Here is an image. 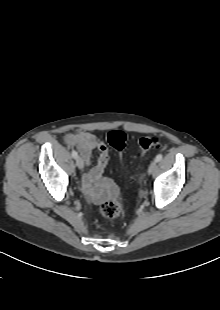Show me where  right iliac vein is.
I'll list each match as a JSON object with an SVG mask.
<instances>
[{
  "instance_id": "1",
  "label": "right iliac vein",
  "mask_w": 220,
  "mask_h": 310,
  "mask_svg": "<svg viewBox=\"0 0 220 310\" xmlns=\"http://www.w3.org/2000/svg\"><path fill=\"white\" fill-rule=\"evenodd\" d=\"M76 166L79 168V169H83L84 168V160L82 157H77L76 158Z\"/></svg>"
}]
</instances>
